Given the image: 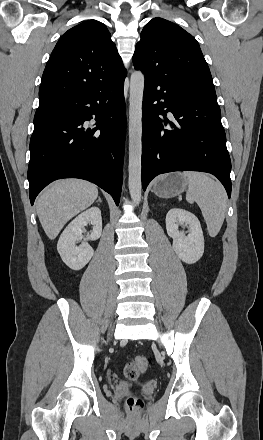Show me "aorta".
Here are the masks:
<instances>
[{
  "mask_svg": "<svg viewBox=\"0 0 263 440\" xmlns=\"http://www.w3.org/2000/svg\"><path fill=\"white\" fill-rule=\"evenodd\" d=\"M145 78L135 71L130 78L129 97V179L128 187L132 201H141V156H142V101Z\"/></svg>",
  "mask_w": 263,
  "mask_h": 440,
  "instance_id": "aorta-1",
  "label": "aorta"
}]
</instances>
